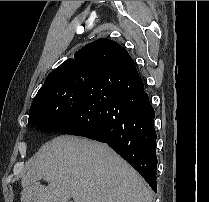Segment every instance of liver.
Returning <instances> with one entry per match:
<instances>
[{"label": "liver", "mask_w": 209, "mask_h": 202, "mask_svg": "<svg viewBox=\"0 0 209 202\" xmlns=\"http://www.w3.org/2000/svg\"><path fill=\"white\" fill-rule=\"evenodd\" d=\"M26 170L21 202L152 201L140 175L112 149L79 137L61 135L45 143Z\"/></svg>", "instance_id": "liver-1"}]
</instances>
